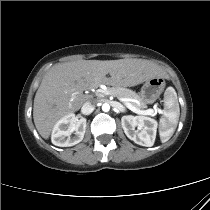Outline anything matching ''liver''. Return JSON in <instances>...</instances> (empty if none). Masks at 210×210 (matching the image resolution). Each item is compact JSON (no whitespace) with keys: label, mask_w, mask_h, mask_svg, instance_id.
Here are the masks:
<instances>
[{"label":"liver","mask_w":210,"mask_h":210,"mask_svg":"<svg viewBox=\"0 0 210 210\" xmlns=\"http://www.w3.org/2000/svg\"><path fill=\"white\" fill-rule=\"evenodd\" d=\"M109 74L110 77H106ZM162 75L143 59L77 60L52 67L36 92L33 119L39 134L48 139L56 122L78 111L89 100L83 91L100 84L131 87Z\"/></svg>","instance_id":"6515ba94"}]
</instances>
